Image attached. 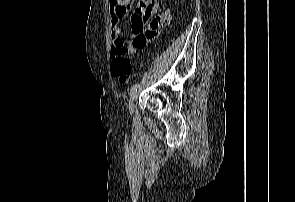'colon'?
I'll return each mask as SVG.
<instances>
[{
  "label": "colon",
  "instance_id": "5ec220e1",
  "mask_svg": "<svg viewBox=\"0 0 295 202\" xmlns=\"http://www.w3.org/2000/svg\"><path fill=\"white\" fill-rule=\"evenodd\" d=\"M128 53L126 48L117 50L111 62V73L122 84L128 82L132 73V64Z\"/></svg>",
  "mask_w": 295,
  "mask_h": 202
}]
</instances>
